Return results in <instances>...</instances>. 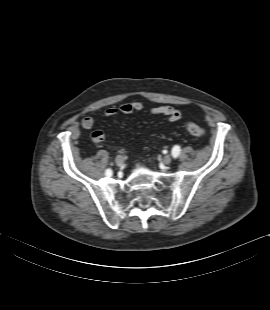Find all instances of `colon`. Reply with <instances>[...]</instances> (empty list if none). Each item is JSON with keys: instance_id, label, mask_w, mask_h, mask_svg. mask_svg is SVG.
I'll use <instances>...</instances> for the list:
<instances>
[{"instance_id": "1", "label": "colon", "mask_w": 270, "mask_h": 310, "mask_svg": "<svg viewBox=\"0 0 270 310\" xmlns=\"http://www.w3.org/2000/svg\"><path fill=\"white\" fill-rule=\"evenodd\" d=\"M186 129L195 138H201L205 133L204 128L195 122H188Z\"/></svg>"}]
</instances>
